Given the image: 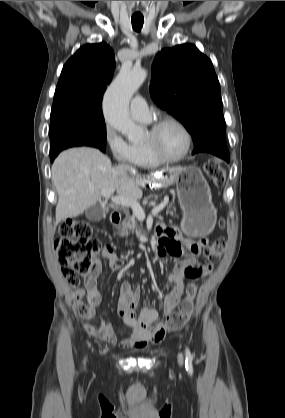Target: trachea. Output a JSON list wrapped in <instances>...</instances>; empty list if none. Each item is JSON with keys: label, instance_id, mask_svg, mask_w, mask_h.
<instances>
[{"label": "trachea", "instance_id": "1", "mask_svg": "<svg viewBox=\"0 0 285 418\" xmlns=\"http://www.w3.org/2000/svg\"><path fill=\"white\" fill-rule=\"evenodd\" d=\"M132 21V27L135 31H140L143 23H144V18L143 17H132L131 18Z\"/></svg>", "mask_w": 285, "mask_h": 418}]
</instances>
